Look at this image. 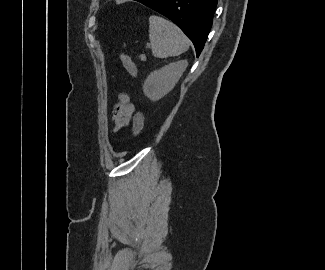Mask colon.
<instances>
[{
	"label": "colon",
	"instance_id": "colon-1",
	"mask_svg": "<svg viewBox=\"0 0 325 270\" xmlns=\"http://www.w3.org/2000/svg\"><path fill=\"white\" fill-rule=\"evenodd\" d=\"M119 58L122 62L123 67L126 69V71L132 76L136 77L137 76V68L133 60L129 55H127L124 52H120ZM144 126V116L142 112L138 111L136 112L134 116V121H133V135L137 136L140 134Z\"/></svg>",
	"mask_w": 325,
	"mask_h": 270
}]
</instances>
